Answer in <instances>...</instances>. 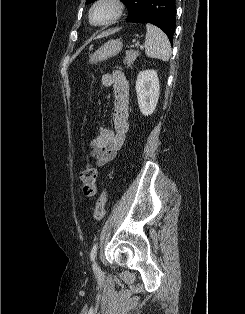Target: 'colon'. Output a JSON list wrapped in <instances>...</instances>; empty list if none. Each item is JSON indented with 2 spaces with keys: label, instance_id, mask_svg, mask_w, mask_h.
Returning a JSON list of instances; mask_svg holds the SVG:
<instances>
[{
  "label": "colon",
  "instance_id": "1",
  "mask_svg": "<svg viewBox=\"0 0 245 314\" xmlns=\"http://www.w3.org/2000/svg\"><path fill=\"white\" fill-rule=\"evenodd\" d=\"M97 171L96 168L87 163L81 172L80 181L81 189L85 196L90 197L96 190ZM107 202V192L104 190L96 203L94 217L97 221H100L105 213V205Z\"/></svg>",
  "mask_w": 245,
  "mask_h": 314
}]
</instances>
